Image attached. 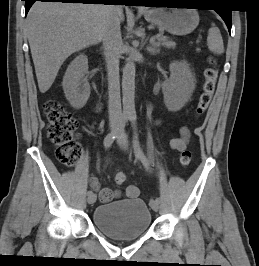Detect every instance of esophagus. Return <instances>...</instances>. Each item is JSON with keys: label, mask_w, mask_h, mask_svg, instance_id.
<instances>
[{"label": "esophagus", "mask_w": 259, "mask_h": 266, "mask_svg": "<svg viewBox=\"0 0 259 266\" xmlns=\"http://www.w3.org/2000/svg\"><path fill=\"white\" fill-rule=\"evenodd\" d=\"M139 9H140V10H144V8H143V7H139Z\"/></svg>", "instance_id": "esophagus-1"}]
</instances>
